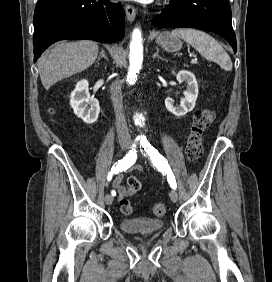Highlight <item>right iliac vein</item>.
<instances>
[{
	"label": "right iliac vein",
	"instance_id": "1",
	"mask_svg": "<svg viewBox=\"0 0 272 282\" xmlns=\"http://www.w3.org/2000/svg\"><path fill=\"white\" fill-rule=\"evenodd\" d=\"M120 148H121V150L123 151V152H127V151H129V149H130V144H129V142L128 141H125V140H122V141H120ZM112 202H113V197L111 196V195H106L105 196V203L107 204V205H110V204H112Z\"/></svg>",
	"mask_w": 272,
	"mask_h": 282
}]
</instances>
